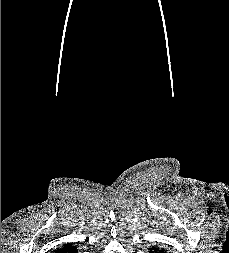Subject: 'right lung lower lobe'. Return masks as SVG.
I'll use <instances>...</instances> for the list:
<instances>
[{"instance_id":"1","label":"right lung lower lobe","mask_w":229,"mask_h":253,"mask_svg":"<svg viewBox=\"0 0 229 253\" xmlns=\"http://www.w3.org/2000/svg\"><path fill=\"white\" fill-rule=\"evenodd\" d=\"M55 253H77V248L72 244H65L61 248H57Z\"/></svg>"}]
</instances>
